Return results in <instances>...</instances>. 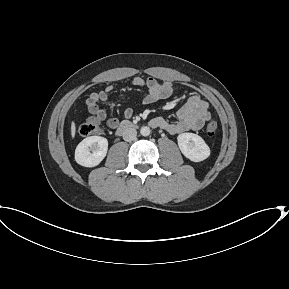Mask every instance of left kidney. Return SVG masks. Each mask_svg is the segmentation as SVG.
<instances>
[{
	"label": "left kidney",
	"mask_w": 289,
	"mask_h": 289,
	"mask_svg": "<svg viewBox=\"0 0 289 289\" xmlns=\"http://www.w3.org/2000/svg\"><path fill=\"white\" fill-rule=\"evenodd\" d=\"M182 154L193 162L205 160L210 155V148L197 134L182 133L177 137Z\"/></svg>",
	"instance_id": "1"
}]
</instances>
